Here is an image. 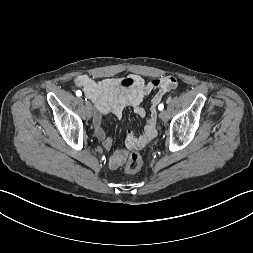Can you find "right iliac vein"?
<instances>
[{
  "label": "right iliac vein",
  "instance_id": "obj_1",
  "mask_svg": "<svg viewBox=\"0 0 253 253\" xmlns=\"http://www.w3.org/2000/svg\"><path fill=\"white\" fill-rule=\"evenodd\" d=\"M85 113H86V117L88 119H90L92 117L93 107L90 102H86V104H85Z\"/></svg>",
  "mask_w": 253,
  "mask_h": 253
}]
</instances>
